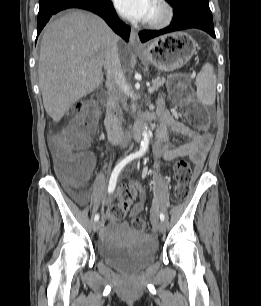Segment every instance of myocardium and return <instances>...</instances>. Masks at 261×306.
<instances>
[{
    "label": "myocardium",
    "mask_w": 261,
    "mask_h": 306,
    "mask_svg": "<svg viewBox=\"0 0 261 306\" xmlns=\"http://www.w3.org/2000/svg\"><path fill=\"white\" fill-rule=\"evenodd\" d=\"M157 7V14L152 18H147L144 25L151 29H160L168 26L174 17V10L167 0H154Z\"/></svg>",
    "instance_id": "f54148a6"
}]
</instances>
